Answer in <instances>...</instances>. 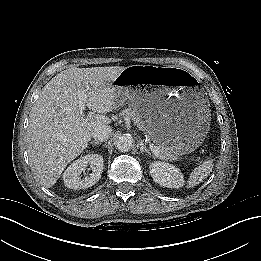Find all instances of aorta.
<instances>
[{"mask_svg":"<svg viewBox=\"0 0 261 261\" xmlns=\"http://www.w3.org/2000/svg\"><path fill=\"white\" fill-rule=\"evenodd\" d=\"M133 147V138L130 134H124L116 140V149L120 152H128Z\"/></svg>","mask_w":261,"mask_h":261,"instance_id":"aorta-1","label":"aorta"}]
</instances>
